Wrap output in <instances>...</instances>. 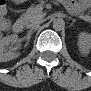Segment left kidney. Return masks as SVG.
<instances>
[{
  "label": "left kidney",
  "mask_w": 91,
  "mask_h": 91,
  "mask_svg": "<svg viewBox=\"0 0 91 91\" xmlns=\"http://www.w3.org/2000/svg\"><path fill=\"white\" fill-rule=\"evenodd\" d=\"M78 47L82 54L88 55L91 49V37L89 34L80 33Z\"/></svg>",
  "instance_id": "5707ae66"
}]
</instances>
